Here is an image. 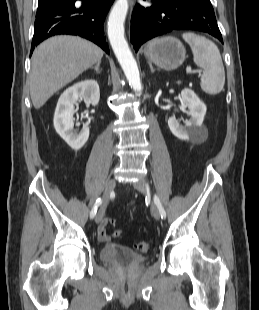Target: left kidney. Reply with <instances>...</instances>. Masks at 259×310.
<instances>
[{
	"mask_svg": "<svg viewBox=\"0 0 259 310\" xmlns=\"http://www.w3.org/2000/svg\"><path fill=\"white\" fill-rule=\"evenodd\" d=\"M182 103L189 109L190 119L183 120L184 125L175 116L168 119V126L174 136L181 140H191L198 136L206 114V105L197 97L191 89L181 91Z\"/></svg>",
	"mask_w": 259,
	"mask_h": 310,
	"instance_id": "obj_1",
	"label": "left kidney"
}]
</instances>
